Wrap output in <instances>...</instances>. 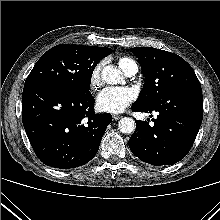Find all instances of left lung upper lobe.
Instances as JSON below:
<instances>
[{"instance_id":"obj_1","label":"left lung upper lobe","mask_w":220,"mask_h":220,"mask_svg":"<svg viewBox=\"0 0 220 220\" xmlns=\"http://www.w3.org/2000/svg\"><path fill=\"white\" fill-rule=\"evenodd\" d=\"M130 50L139 59L146 78L134 104L153 106L170 94L201 87L192 67L180 56L153 47H135Z\"/></svg>"}]
</instances>
